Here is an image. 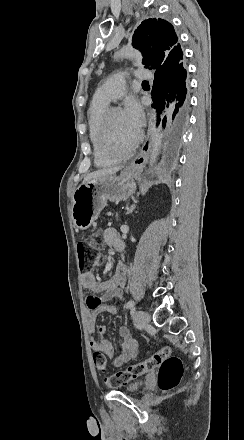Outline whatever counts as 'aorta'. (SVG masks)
<instances>
[{
	"mask_svg": "<svg viewBox=\"0 0 244 440\" xmlns=\"http://www.w3.org/2000/svg\"><path fill=\"white\" fill-rule=\"evenodd\" d=\"M119 55L124 58H140L139 52L133 49L122 50L119 53ZM161 144H162V135L158 130L155 135V138H153L151 143L150 162H149L150 166H152L155 163L161 149Z\"/></svg>",
	"mask_w": 244,
	"mask_h": 440,
	"instance_id": "1",
	"label": "aorta"
}]
</instances>
